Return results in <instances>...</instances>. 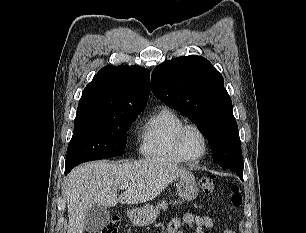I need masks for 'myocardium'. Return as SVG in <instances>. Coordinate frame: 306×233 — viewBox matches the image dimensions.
Here are the masks:
<instances>
[{
    "instance_id": "f54148a6",
    "label": "myocardium",
    "mask_w": 306,
    "mask_h": 233,
    "mask_svg": "<svg viewBox=\"0 0 306 233\" xmlns=\"http://www.w3.org/2000/svg\"><path fill=\"white\" fill-rule=\"evenodd\" d=\"M189 129H194L195 131H197L199 133V135L201 136V138L203 140V144H204L203 153L200 156H198L197 158H193V159L186 156V154H185V152L183 150V146H182L183 135ZM175 149H176L177 154L179 155V157L183 161L188 162V163L199 162L208 153V150H209L208 138H207L205 132L197 124H194V123H185V124H183L178 129V131L176 133V136H175Z\"/></svg>"
}]
</instances>
